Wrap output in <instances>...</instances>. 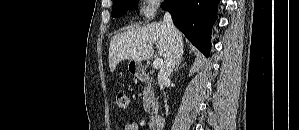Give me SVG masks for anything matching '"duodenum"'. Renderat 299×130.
Returning a JSON list of instances; mask_svg holds the SVG:
<instances>
[{
    "label": "duodenum",
    "instance_id": "410a0bca",
    "mask_svg": "<svg viewBox=\"0 0 299 130\" xmlns=\"http://www.w3.org/2000/svg\"><path fill=\"white\" fill-rule=\"evenodd\" d=\"M138 75L142 79L153 80V78L143 69L138 71ZM164 118L160 113L155 114L150 119L151 130H163Z\"/></svg>",
    "mask_w": 299,
    "mask_h": 130
}]
</instances>
